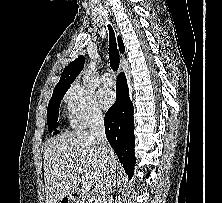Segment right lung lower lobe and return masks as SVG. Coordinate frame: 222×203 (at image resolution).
<instances>
[{
  "label": "right lung lower lobe",
  "mask_w": 222,
  "mask_h": 203,
  "mask_svg": "<svg viewBox=\"0 0 222 203\" xmlns=\"http://www.w3.org/2000/svg\"><path fill=\"white\" fill-rule=\"evenodd\" d=\"M117 99L105 114V134L108 142L131 178L135 165V135L133 105L129 98L126 76L121 73L117 79Z\"/></svg>",
  "instance_id": "obj_1"
}]
</instances>
